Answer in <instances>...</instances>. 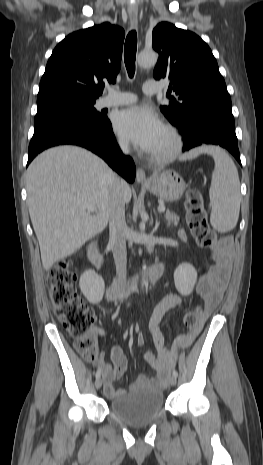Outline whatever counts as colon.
<instances>
[{"instance_id":"1","label":"colon","mask_w":263,"mask_h":465,"mask_svg":"<svg viewBox=\"0 0 263 465\" xmlns=\"http://www.w3.org/2000/svg\"><path fill=\"white\" fill-rule=\"evenodd\" d=\"M186 220L197 244L216 250L217 237L209 227L203 199L199 191L191 190L185 203ZM77 275L71 262L60 261L47 275L49 297L55 315L74 339L76 349L89 361L97 359L96 339L92 328L93 310L83 301L77 292ZM203 319L201 307L189 311L184 316V325L189 330L198 329Z\"/></svg>"}]
</instances>
